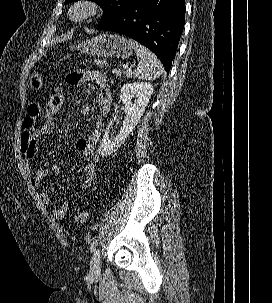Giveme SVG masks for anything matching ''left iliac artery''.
<instances>
[{
  "label": "left iliac artery",
  "instance_id": "1",
  "mask_svg": "<svg viewBox=\"0 0 272 303\" xmlns=\"http://www.w3.org/2000/svg\"><path fill=\"white\" fill-rule=\"evenodd\" d=\"M97 239H95L92 243H91V246H90V252H94V250L96 249V246H97Z\"/></svg>",
  "mask_w": 272,
  "mask_h": 303
}]
</instances>
